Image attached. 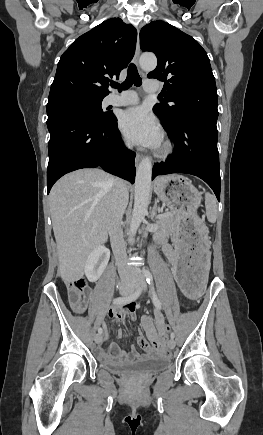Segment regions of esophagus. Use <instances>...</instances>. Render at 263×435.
<instances>
[{"label":"esophagus","instance_id":"obj_1","mask_svg":"<svg viewBox=\"0 0 263 435\" xmlns=\"http://www.w3.org/2000/svg\"><path fill=\"white\" fill-rule=\"evenodd\" d=\"M139 58H140V42H139V31H138L137 41H136V50H135V55H134V62L137 66H139ZM141 159H142V155L140 153H137L136 157H135L136 165L139 164Z\"/></svg>","mask_w":263,"mask_h":435}]
</instances>
